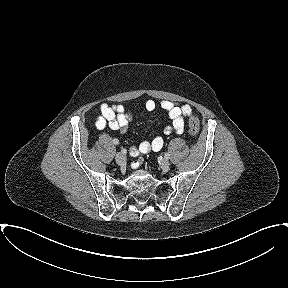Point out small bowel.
I'll return each instance as SVG.
<instances>
[{"label":"small bowel","instance_id":"small-bowel-1","mask_svg":"<svg viewBox=\"0 0 288 288\" xmlns=\"http://www.w3.org/2000/svg\"><path fill=\"white\" fill-rule=\"evenodd\" d=\"M157 104L154 100L149 99L145 102V109L147 111H154ZM160 107L165 110L171 119V124L162 128L164 135H169L173 132L181 134L184 131L185 117L193 113L190 105H179L177 103L163 100L160 102ZM132 119V113L127 111L124 106L120 104H102L100 106V115L97 117L95 125L98 129H103L108 126L110 129L119 133L126 131L128 123ZM164 139L158 135L151 141H143L138 146L131 148L132 156H139L140 154H147L150 152H157L163 148Z\"/></svg>","mask_w":288,"mask_h":288}]
</instances>
